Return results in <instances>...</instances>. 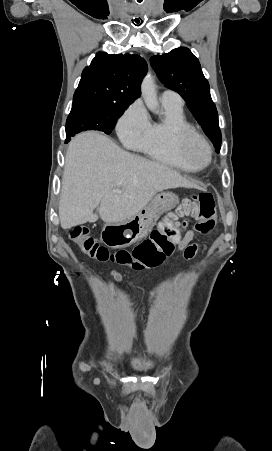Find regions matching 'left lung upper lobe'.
<instances>
[{"instance_id": "left-lung-upper-lobe-1", "label": "left lung upper lobe", "mask_w": 272, "mask_h": 451, "mask_svg": "<svg viewBox=\"0 0 272 451\" xmlns=\"http://www.w3.org/2000/svg\"><path fill=\"white\" fill-rule=\"evenodd\" d=\"M150 61L162 83L178 92L187 102L197 122L219 152L222 137L218 113L198 59L188 48L180 47L161 56L155 55Z\"/></svg>"}]
</instances>
